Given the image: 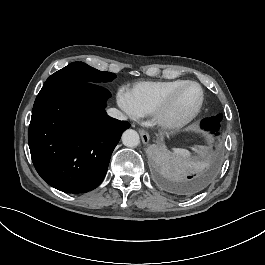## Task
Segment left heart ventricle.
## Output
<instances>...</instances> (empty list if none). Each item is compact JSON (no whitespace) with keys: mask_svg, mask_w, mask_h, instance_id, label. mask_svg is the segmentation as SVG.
I'll use <instances>...</instances> for the list:
<instances>
[{"mask_svg":"<svg viewBox=\"0 0 265 265\" xmlns=\"http://www.w3.org/2000/svg\"><path fill=\"white\" fill-rule=\"evenodd\" d=\"M200 98V89L195 84L187 85L180 94L176 105L172 110V117L181 116L193 109Z\"/></svg>","mask_w":265,"mask_h":265,"instance_id":"obj_1","label":"left heart ventricle"}]
</instances>
